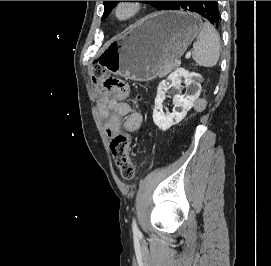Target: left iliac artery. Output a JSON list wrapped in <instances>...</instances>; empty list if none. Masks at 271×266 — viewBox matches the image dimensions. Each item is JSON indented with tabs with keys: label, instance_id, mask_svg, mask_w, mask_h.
<instances>
[{
	"label": "left iliac artery",
	"instance_id": "44dca946",
	"mask_svg": "<svg viewBox=\"0 0 271 266\" xmlns=\"http://www.w3.org/2000/svg\"><path fill=\"white\" fill-rule=\"evenodd\" d=\"M132 230H133L134 234H139L140 233L135 219H133V221H132Z\"/></svg>",
	"mask_w": 271,
	"mask_h": 266
}]
</instances>
